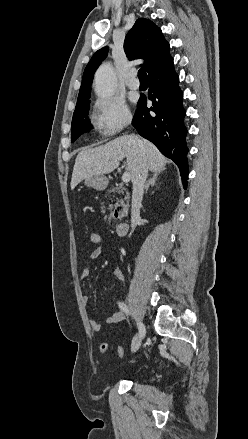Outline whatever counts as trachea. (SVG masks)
I'll use <instances>...</instances> for the list:
<instances>
[{"instance_id":"obj_1","label":"trachea","mask_w":248,"mask_h":439,"mask_svg":"<svg viewBox=\"0 0 248 439\" xmlns=\"http://www.w3.org/2000/svg\"><path fill=\"white\" fill-rule=\"evenodd\" d=\"M138 78L140 80H147L148 79L146 71L143 68L139 69V71H138Z\"/></svg>"}]
</instances>
